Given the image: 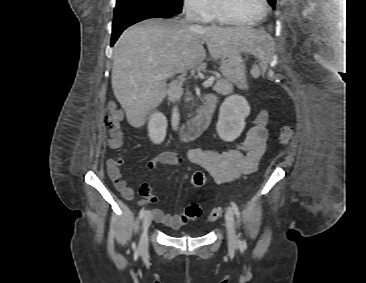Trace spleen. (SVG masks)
Listing matches in <instances>:
<instances>
[{"instance_id":"spleen-1","label":"spleen","mask_w":366,"mask_h":283,"mask_svg":"<svg viewBox=\"0 0 366 283\" xmlns=\"http://www.w3.org/2000/svg\"><path fill=\"white\" fill-rule=\"evenodd\" d=\"M251 75L254 78H258L260 76V69H259V66L257 64L253 65V67L251 69Z\"/></svg>"}]
</instances>
